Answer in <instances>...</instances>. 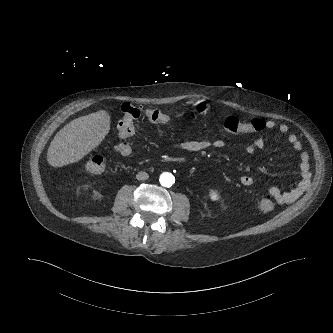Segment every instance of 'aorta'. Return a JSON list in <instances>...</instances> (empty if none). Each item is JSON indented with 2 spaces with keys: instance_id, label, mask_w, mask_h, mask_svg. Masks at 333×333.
Wrapping results in <instances>:
<instances>
[{
  "instance_id": "1",
  "label": "aorta",
  "mask_w": 333,
  "mask_h": 333,
  "mask_svg": "<svg viewBox=\"0 0 333 333\" xmlns=\"http://www.w3.org/2000/svg\"><path fill=\"white\" fill-rule=\"evenodd\" d=\"M160 183L165 187H171L174 183V176L170 173H162L160 176Z\"/></svg>"
}]
</instances>
